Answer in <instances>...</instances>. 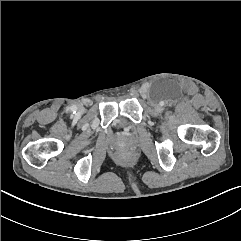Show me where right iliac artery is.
Wrapping results in <instances>:
<instances>
[{
  "mask_svg": "<svg viewBox=\"0 0 241 241\" xmlns=\"http://www.w3.org/2000/svg\"><path fill=\"white\" fill-rule=\"evenodd\" d=\"M76 110H77V107H76V106H71V107H70V111H71L72 113H75Z\"/></svg>",
  "mask_w": 241,
  "mask_h": 241,
  "instance_id": "82829eb1",
  "label": "right iliac artery"
}]
</instances>
